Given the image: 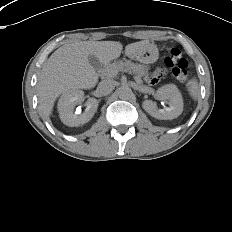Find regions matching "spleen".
I'll return each mask as SVG.
<instances>
[{
    "label": "spleen",
    "instance_id": "1",
    "mask_svg": "<svg viewBox=\"0 0 232 232\" xmlns=\"http://www.w3.org/2000/svg\"><path fill=\"white\" fill-rule=\"evenodd\" d=\"M187 90L189 95L194 99L197 100L200 94V86L196 78H192L187 82Z\"/></svg>",
    "mask_w": 232,
    "mask_h": 232
}]
</instances>
